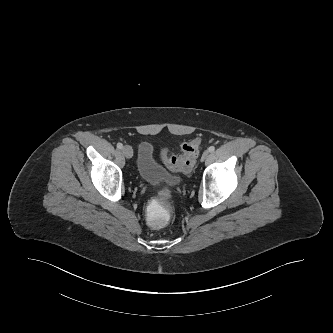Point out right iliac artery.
I'll use <instances>...</instances> for the list:
<instances>
[{
  "label": "right iliac artery",
  "mask_w": 333,
  "mask_h": 333,
  "mask_svg": "<svg viewBox=\"0 0 333 333\" xmlns=\"http://www.w3.org/2000/svg\"><path fill=\"white\" fill-rule=\"evenodd\" d=\"M117 148H118V149H122V148H123V144H122V143H118V144H117Z\"/></svg>",
  "instance_id": "obj_1"
}]
</instances>
